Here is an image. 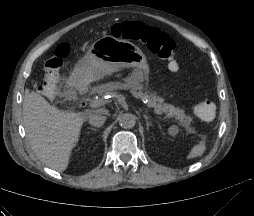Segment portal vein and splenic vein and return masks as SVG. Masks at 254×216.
Instances as JSON below:
<instances>
[{
  "instance_id": "portal-vein-and-splenic-vein-1",
  "label": "portal vein and splenic vein",
  "mask_w": 254,
  "mask_h": 216,
  "mask_svg": "<svg viewBox=\"0 0 254 216\" xmlns=\"http://www.w3.org/2000/svg\"><path fill=\"white\" fill-rule=\"evenodd\" d=\"M106 103H107V101L104 98H95V99L91 100V102L89 104H90V107L96 108V107L103 106ZM154 112L157 115H160V116L163 115L162 112L160 110H158V109H154Z\"/></svg>"
}]
</instances>
